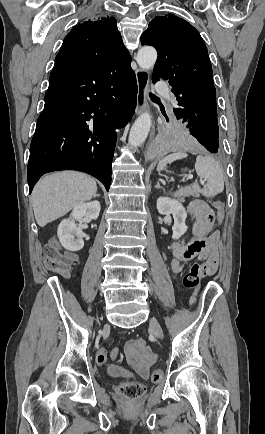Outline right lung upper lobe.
<instances>
[{"label": "right lung upper lobe", "mask_w": 265, "mask_h": 434, "mask_svg": "<svg viewBox=\"0 0 265 434\" xmlns=\"http://www.w3.org/2000/svg\"><path fill=\"white\" fill-rule=\"evenodd\" d=\"M130 58L116 20L97 17L73 27L65 37L55 66H99L115 59Z\"/></svg>", "instance_id": "cb5924a9"}]
</instances>
